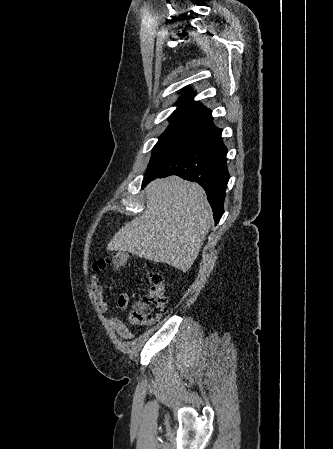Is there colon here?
Here are the masks:
<instances>
[{"instance_id":"obj_1","label":"colon","mask_w":333,"mask_h":449,"mask_svg":"<svg viewBox=\"0 0 333 449\" xmlns=\"http://www.w3.org/2000/svg\"><path fill=\"white\" fill-rule=\"evenodd\" d=\"M129 260V255L125 252L115 251L94 263V271H101L108 267L120 269ZM163 277L159 273L151 276V286L147 294L137 301L130 312V321L134 325H151L157 322L163 315L167 296L163 284Z\"/></svg>"}]
</instances>
